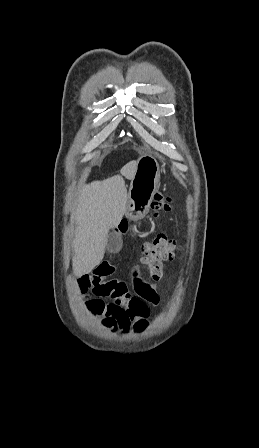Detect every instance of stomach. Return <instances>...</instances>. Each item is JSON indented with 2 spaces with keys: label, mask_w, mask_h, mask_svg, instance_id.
<instances>
[{
  "label": "stomach",
  "mask_w": 259,
  "mask_h": 448,
  "mask_svg": "<svg viewBox=\"0 0 259 448\" xmlns=\"http://www.w3.org/2000/svg\"><path fill=\"white\" fill-rule=\"evenodd\" d=\"M160 182L159 164L150 154H144L137 160V170L130 182L128 192V216L131 220H141L146 216L152 198Z\"/></svg>",
  "instance_id": "1"
}]
</instances>
